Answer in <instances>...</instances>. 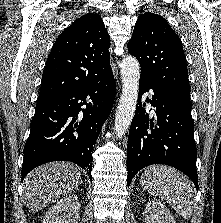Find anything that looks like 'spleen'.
I'll list each match as a JSON object with an SVG mask.
<instances>
[{"mask_svg":"<svg viewBox=\"0 0 221 223\" xmlns=\"http://www.w3.org/2000/svg\"><path fill=\"white\" fill-rule=\"evenodd\" d=\"M140 184L146 192L166 200L185 219L193 211V190L187 178L167 166H151L141 175Z\"/></svg>","mask_w":221,"mask_h":223,"instance_id":"3e777b00","label":"spleen"}]
</instances>
